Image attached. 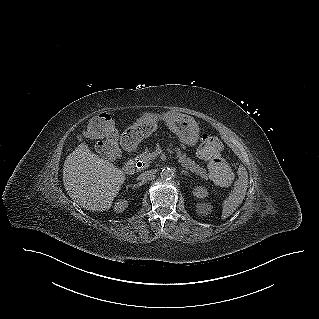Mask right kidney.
Returning <instances> with one entry per match:
<instances>
[{
  "mask_svg": "<svg viewBox=\"0 0 319 319\" xmlns=\"http://www.w3.org/2000/svg\"><path fill=\"white\" fill-rule=\"evenodd\" d=\"M128 202L125 199H119L114 205V211L121 213L127 208Z\"/></svg>",
  "mask_w": 319,
  "mask_h": 319,
  "instance_id": "ca27d5eb",
  "label": "right kidney"
}]
</instances>
